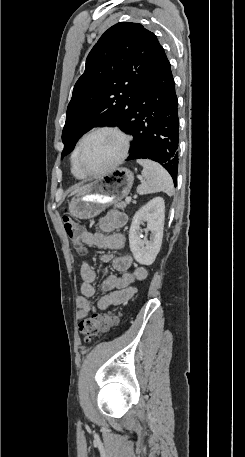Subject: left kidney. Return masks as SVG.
Here are the masks:
<instances>
[{
    "instance_id": "obj_1",
    "label": "left kidney",
    "mask_w": 245,
    "mask_h": 457,
    "mask_svg": "<svg viewBox=\"0 0 245 457\" xmlns=\"http://www.w3.org/2000/svg\"><path fill=\"white\" fill-rule=\"evenodd\" d=\"M165 202L162 196H155L147 204L141 206L133 216L129 231L130 251L137 263L140 265H152L154 263L162 245L163 226H164ZM147 222L145 233L151 231L150 241L140 237V224Z\"/></svg>"
}]
</instances>
